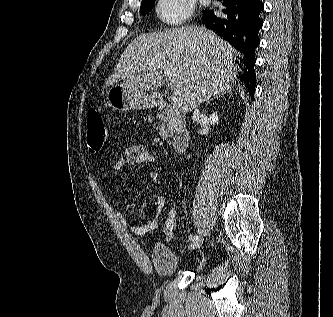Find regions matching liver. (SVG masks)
<instances>
[{"label":"liver","mask_w":333,"mask_h":317,"mask_svg":"<svg viewBox=\"0 0 333 317\" xmlns=\"http://www.w3.org/2000/svg\"><path fill=\"white\" fill-rule=\"evenodd\" d=\"M237 55L228 42L203 27L144 33L126 47L108 84L125 79L155 92L169 79V88L182 99V109L191 111L211 96L231 90Z\"/></svg>","instance_id":"1"}]
</instances>
